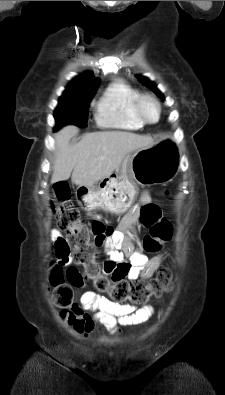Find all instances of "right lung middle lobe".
Listing matches in <instances>:
<instances>
[{"instance_id": "1", "label": "right lung middle lobe", "mask_w": 225, "mask_h": 395, "mask_svg": "<svg viewBox=\"0 0 225 395\" xmlns=\"http://www.w3.org/2000/svg\"><path fill=\"white\" fill-rule=\"evenodd\" d=\"M91 94L64 93L59 99V104L54 112L56 120L55 130L67 124H75L79 127L87 126L88 102Z\"/></svg>"}]
</instances>
